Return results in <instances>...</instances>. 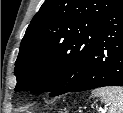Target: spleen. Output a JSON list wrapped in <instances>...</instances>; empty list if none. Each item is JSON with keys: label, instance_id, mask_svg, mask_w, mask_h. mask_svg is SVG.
<instances>
[{"label": "spleen", "instance_id": "obj_1", "mask_svg": "<svg viewBox=\"0 0 123 113\" xmlns=\"http://www.w3.org/2000/svg\"><path fill=\"white\" fill-rule=\"evenodd\" d=\"M92 97H99L109 105V113H123V87H102L92 91Z\"/></svg>", "mask_w": 123, "mask_h": 113}]
</instances>
